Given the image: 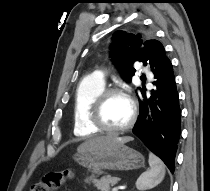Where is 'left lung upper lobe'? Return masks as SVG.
Listing matches in <instances>:
<instances>
[{"label":"left lung upper lobe","mask_w":210,"mask_h":191,"mask_svg":"<svg viewBox=\"0 0 210 191\" xmlns=\"http://www.w3.org/2000/svg\"><path fill=\"white\" fill-rule=\"evenodd\" d=\"M114 40L111 47V57L117 63L121 70L123 79L130 82L135 69L133 63L141 61L144 65H150L151 69L166 56L163 45L157 40H147L143 43V49H137V46L142 44L140 34L134 35L125 31H116L112 35ZM129 43L131 45L130 52L123 51V44ZM122 49V51H120ZM141 88H138V93Z\"/></svg>","instance_id":"left-lung-upper-lobe-1"}]
</instances>
